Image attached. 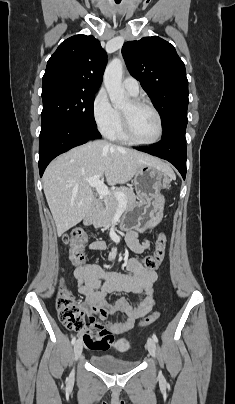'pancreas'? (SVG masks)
Wrapping results in <instances>:
<instances>
[{"label":"pancreas","mask_w":235,"mask_h":404,"mask_svg":"<svg viewBox=\"0 0 235 404\" xmlns=\"http://www.w3.org/2000/svg\"><path fill=\"white\" fill-rule=\"evenodd\" d=\"M117 191L121 192L125 197V208L136 203V196L130 188L121 187ZM120 206V201L116 196H109L104 200L103 205L99 206L93 215V224L97 227H105L109 225Z\"/></svg>","instance_id":"cf45deb5"}]
</instances>
